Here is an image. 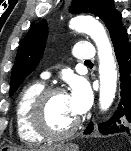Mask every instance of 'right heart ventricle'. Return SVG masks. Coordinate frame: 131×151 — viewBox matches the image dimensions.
Returning <instances> with one entry per match:
<instances>
[{"label":"right heart ventricle","instance_id":"right-heart-ventricle-1","mask_svg":"<svg viewBox=\"0 0 131 151\" xmlns=\"http://www.w3.org/2000/svg\"><path fill=\"white\" fill-rule=\"evenodd\" d=\"M42 82L27 85L19 94L15 106V127L19 138L28 144L42 142L43 137L37 134L31 124V109L36 97L44 90Z\"/></svg>","mask_w":131,"mask_h":151}]
</instances>
